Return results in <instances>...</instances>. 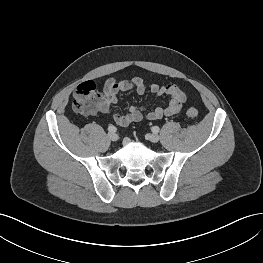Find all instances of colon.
<instances>
[{"mask_svg": "<svg viewBox=\"0 0 263 263\" xmlns=\"http://www.w3.org/2000/svg\"><path fill=\"white\" fill-rule=\"evenodd\" d=\"M99 93L93 81H85L76 87L72 100V109L80 114H92L96 110ZM189 118L198 116L197 109L191 107L187 110Z\"/></svg>", "mask_w": 263, "mask_h": 263, "instance_id": "5ec220e1", "label": "colon"}]
</instances>
